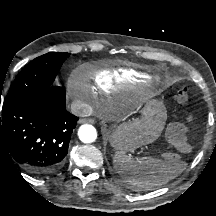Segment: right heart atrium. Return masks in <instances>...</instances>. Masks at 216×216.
Returning a JSON list of instances; mask_svg holds the SVG:
<instances>
[{"label":"right heart atrium","mask_w":216,"mask_h":216,"mask_svg":"<svg viewBox=\"0 0 216 216\" xmlns=\"http://www.w3.org/2000/svg\"><path fill=\"white\" fill-rule=\"evenodd\" d=\"M68 90L70 91V93L81 98L82 100L86 101L87 103L91 99L90 94L81 87V85L79 84V82L75 78H72L69 81Z\"/></svg>","instance_id":"right-heart-atrium-1"}]
</instances>
